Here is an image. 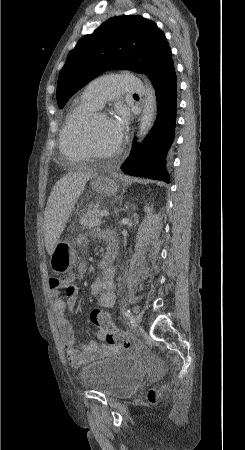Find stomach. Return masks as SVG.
I'll return each mask as SVG.
<instances>
[{"label":"stomach","mask_w":245,"mask_h":450,"mask_svg":"<svg viewBox=\"0 0 245 450\" xmlns=\"http://www.w3.org/2000/svg\"><path fill=\"white\" fill-rule=\"evenodd\" d=\"M92 187L95 191L104 194H116L118 180L104 175L95 176L92 179ZM77 259L74 246L67 240L58 241L50 258V267L55 273H65L73 268Z\"/></svg>","instance_id":"obj_1"}]
</instances>
